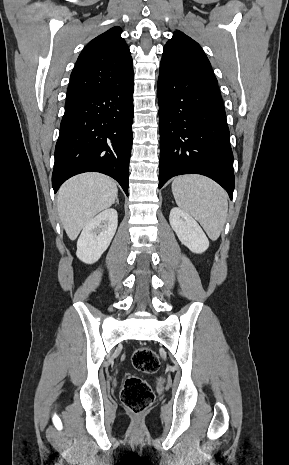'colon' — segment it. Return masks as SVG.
<instances>
[{
	"label": "colon",
	"mask_w": 289,
	"mask_h": 465,
	"mask_svg": "<svg viewBox=\"0 0 289 465\" xmlns=\"http://www.w3.org/2000/svg\"><path fill=\"white\" fill-rule=\"evenodd\" d=\"M134 368L142 373L153 374L159 370L160 360L150 347H140L132 355ZM121 400L133 414L143 413L153 402L154 393L144 379L129 375L126 377L121 391Z\"/></svg>",
	"instance_id": "5ec220e1"
}]
</instances>
